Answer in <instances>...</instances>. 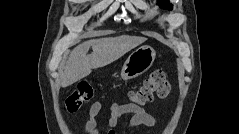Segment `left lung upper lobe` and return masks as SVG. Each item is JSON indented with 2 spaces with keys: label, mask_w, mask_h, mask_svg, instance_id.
<instances>
[{
  "label": "left lung upper lobe",
  "mask_w": 239,
  "mask_h": 134,
  "mask_svg": "<svg viewBox=\"0 0 239 134\" xmlns=\"http://www.w3.org/2000/svg\"><path fill=\"white\" fill-rule=\"evenodd\" d=\"M158 4L162 8L172 10V5L169 4V0H158Z\"/></svg>",
  "instance_id": "5c2ea615"
}]
</instances>
